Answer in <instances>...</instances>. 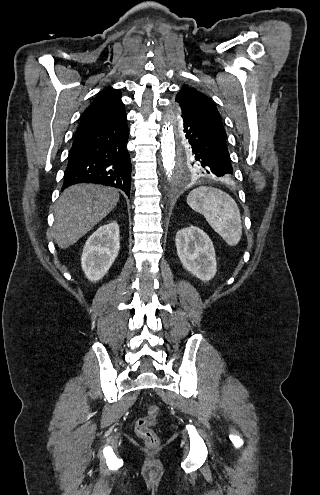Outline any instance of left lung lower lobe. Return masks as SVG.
Returning <instances> with one entry per match:
<instances>
[{
  "mask_svg": "<svg viewBox=\"0 0 320 495\" xmlns=\"http://www.w3.org/2000/svg\"><path fill=\"white\" fill-rule=\"evenodd\" d=\"M180 130L187 143L200 153L205 173L211 178L233 174L226 140L190 115H179Z\"/></svg>",
  "mask_w": 320,
  "mask_h": 495,
  "instance_id": "obj_1",
  "label": "left lung lower lobe"
}]
</instances>
